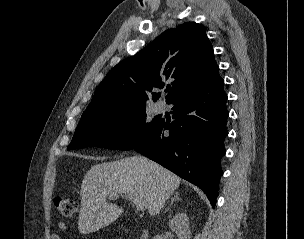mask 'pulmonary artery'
Returning <instances> with one entry per match:
<instances>
[{"label": "pulmonary artery", "instance_id": "e3ab8cb5", "mask_svg": "<svg viewBox=\"0 0 304 239\" xmlns=\"http://www.w3.org/2000/svg\"><path fill=\"white\" fill-rule=\"evenodd\" d=\"M165 108H166V104L162 101L157 102L155 105V110L157 112H163Z\"/></svg>", "mask_w": 304, "mask_h": 239}]
</instances>
